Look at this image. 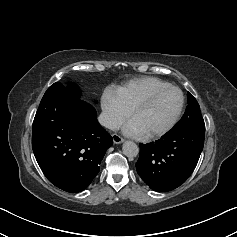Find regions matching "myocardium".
I'll return each mask as SVG.
<instances>
[{
	"label": "myocardium",
	"instance_id": "obj_1",
	"mask_svg": "<svg viewBox=\"0 0 237 237\" xmlns=\"http://www.w3.org/2000/svg\"><path fill=\"white\" fill-rule=\"evenodd\" d=\"M167 90H175L176 92H178L179 96H180V105L178 107V110L176 111L175 115L173 116V118L170 120V122L164 126L163 128L154 131V132H150V133H144L143 138L145 139H153V138H157L160 136H163L164 134H166L167 132H169L179 121L182 112L184 110V105H185V98H184V94L183 92L176 86L173 85H168L165 87H161L158 89H155L151 92H149L148 94H146L144 97H142L141 99H139L130 109L129 115L130 118L132 119V117L134 116V114L141 109L142 107H144L145 105H147L149 102H151L156 96L160 95L161 93L167 91Z\"/></svg>",
	"mask_w": 237,
	"mask_h": 237
}]
</instances>
